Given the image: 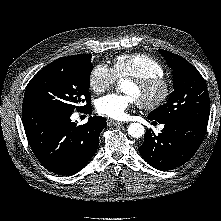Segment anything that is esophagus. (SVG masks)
Listing matches in <instances>:
<instances>
[{
	"label": "esophagus",
	"instance_id": "1",
	"mask_svg": "<svg viewBox=\"0 0 221 221\" xmlns=\"http://www.w3.org/2000/svg\"><path fill=\"white\" fill-rule=\"evenodd\" d=\"M109 125H113V126H119V125H124V122H119V121H114V120H109L108 121Z\"/></svg>",
	"mask_w": 221,
	"mask_h": 221
}]
</instances>
